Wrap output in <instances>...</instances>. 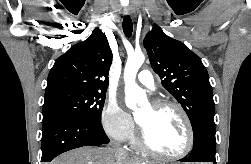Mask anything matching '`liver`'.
Masks as SVG:
<instances>
[{"label":"liver","instance_id":"1","mask_svg":"<svg viewBox=\"0 0 251 164\" xmlns=\"http://www.w3.org/2000/svg\"><path fill=\"white\" fill-rule=\"evenodd\" d=\"M51 164H151L138 157L124 154L118 156L110 148L81 147L64 153Z\"/></svg>","mask_w":251,"mask_h":164}]
</instances>
